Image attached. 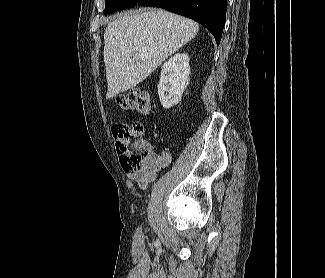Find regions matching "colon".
Segmentation results:
<instances>
[{
    "mask_svg": "<svg viewBox=\"0 0 325 278\" xmlns=\"http://www.w3.org/2000/svg\"><path fill=\"white\" fill-rule=\"evenodd\" d=\"M116 103L123 110L136 111L141 115H149L152 111L149 95L139 89L120 94ZM143 133L140 123H118L112 127L115 149L125 171H140L151 155L149 144L142 140Z\"/></svg>",
    "mask_w": 325,
    "mask_h": 278,
    "instance_id": "5ec220e1",
    "label": "colon"
}]
</instances>
